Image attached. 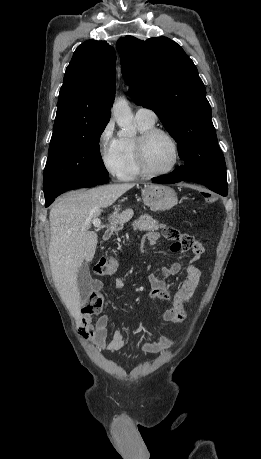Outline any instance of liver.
<instances>
[{
	"label": "liver",
	"instance_id": "liver-1",
	"mask_svg": "<svg viewBox=\"0 0 261 459\" xmlns=\"http://www.w3.org/2000/svg\"><path fill=\"white\" fill-rule=\"evenodd\" d=\"M134 184H110L67 193L56 203L49 216L50 244L48 249L52 277L71 315L78 321L82 306L77 284V273L84 261L94 258L98 243L95 232L89 231L93 218H98L102 208L111 206ZM131 209L117 216L127 221Z\"/></svg>",
	"mask_w": 261,
	"mask_h": 459
}]
</instances>
